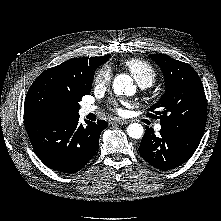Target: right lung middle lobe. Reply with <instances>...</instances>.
Returning <instances> with one entry per match:
<instances>
[{"instance_id":"dd1d6c3e","label":"right lung middle lobe","mask_w":221,"mask_h":221,"mask_svg":"<svg viewBox=\"0 0 221 221\" xmlns=\"http://www.w3.org/2000/svg\"><path fill=\"white\" fill-rule=\"evenodd\" d=\"M93 79L94 74L88 83L79 84L43 72L26 95L24 118L54 119L78 114V102L90 93Z\"/></svg>"}]
</instances>
